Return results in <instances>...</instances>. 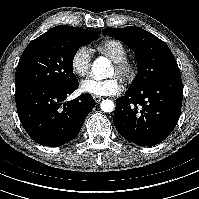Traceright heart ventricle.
Segmentation results:
<instances>
[{
	"instance_id": "right-heart-ventricle-1",
	"label": "right heart ventricle",
	"mask_w": 199,
	"mask_h": 199,
	"mask_svg": "<svg viewBox=\"0 0 199 199\" xmlns=\"http://www.w3.org/2000/svg\"><path fill=\"white\" fill-rule=\"evenodd\" d=\"M97 51L110 59L113 63H117L127 58V47L118 40L109 39L99 43L96 46Z\"/></svg>"
}]
</instances>
